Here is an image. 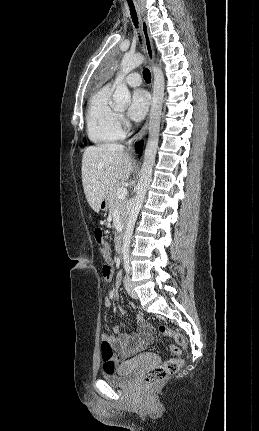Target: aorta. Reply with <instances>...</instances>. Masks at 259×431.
<instances>
[{"mask_svg":"<svg viewBox=\"0 0 259 431\" xmlns=\"http://www.w3.org/2000/svg\"><path fill=\"white\" fill-rule=\"evenodd\" d=\"M144 62L145 58L140 54H125L121 61L120 71L115 80L116 90L113 94L114 107L122 109L129 105L131 101V94L123 80L128 73ZM152 71L154 76V85L153 100L150 109L149 138L144 152L143 164L140 171V180L137 184V193L129 212L128 222L123 237L122 253L124 255H127L129 252L134 226L137 221L140 208L143 204L147 188L151 181L156 151L158 148L165 81L163 72L159 67L153 66Z\"/></svg>","mask_w":259,"mask_h":431,"instance_id":"aorta-1","label":"aorta"}]
</instances>
